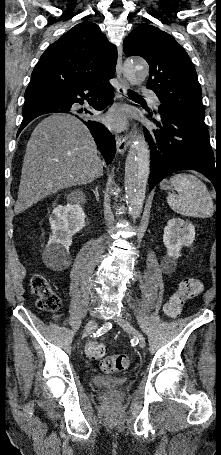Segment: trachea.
<instances>
[{
    "label": "trachea",
    "mask_w": 221,
    "mask_h": 455,
    "mask_svg": "<svg viewBox=\"0 0 221 455\" xmlns=\"http://www.w3.org/2000/svg\"><path fill=\"white\" fill-rule=\"evenodd\" d=\"M128 95L130 97L142 98L140 95H138L137 93H135L134 91H131V90H128Z\"/></svg>",
    "instance_id": "3493384b"
}]
</instances>
